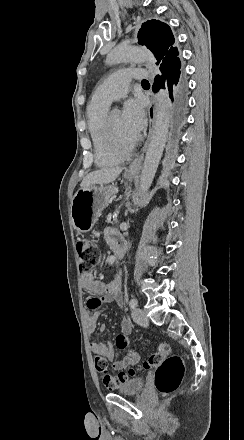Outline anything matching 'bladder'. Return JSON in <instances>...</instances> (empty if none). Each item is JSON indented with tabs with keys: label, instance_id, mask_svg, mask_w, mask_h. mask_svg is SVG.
<instances>
[{
	"label": "bladder",
	"instance_id": "obj_1",
	"mask_svg": "<svg viewBox=\"0 0 244 440\" xmlns=\"http://www.w3.org/2000/svg\"><path fill=\"white\" fill-rule=\"evenodd\" d=\"M145 380L138 377L130 378L129 382L116 388L119 394H138L144 388Z\"/></svg>",
	"mask_w": 244,
	"mask_h": 440
}]
</instances>
